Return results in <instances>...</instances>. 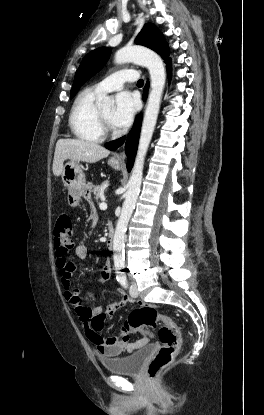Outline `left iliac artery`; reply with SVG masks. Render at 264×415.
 <instances>
[{
    "label": "left iliac artery",
    "instance_id": "left-iliac-artery-1",
    "mask_svg": "<svg viewBox=\"0 0 264 415\" xmlns=\"http://www.w3.org/2000/svg\"><path fill=\"white\" fill-rule=\"evenodd\" d=\"M120 284L124 287L127 288L128 284H127V280H126V276H122L119 280Z\"/></svg>",
    "mask_w": 264,
    "mask_h": 415
}]
</instances>
